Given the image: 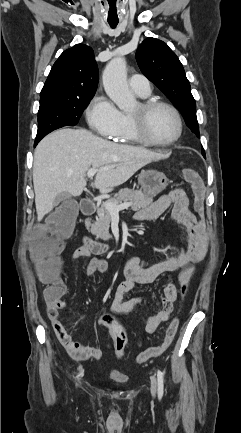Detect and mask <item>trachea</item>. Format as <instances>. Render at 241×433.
<instances>
[{
  "label": "trachea",
  "mask_w": 241,
  "mask_h": 433,
  "mask_svg": "<svg viewBox=\"0 0 241 433\" xmlns=\"http://www.w3.org/2000/svg\"><path fill=\"white\" fill-rule=\"evenodd\" d=\"M108 24L111 28H115L119 24V14L115 3H110L107 11Z\"/></svg>",
  "instance_id": "obj_1"
}]
</instances>
